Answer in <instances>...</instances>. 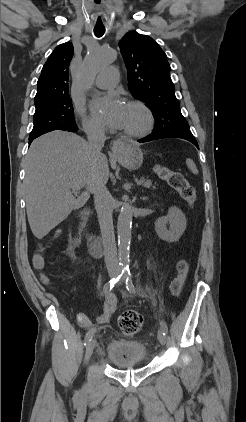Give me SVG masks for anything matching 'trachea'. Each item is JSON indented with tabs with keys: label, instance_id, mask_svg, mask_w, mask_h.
<instances>
[{
	"label": "trachea",
	"instance_id": "obj_1",
	"mask_svg": "<svg viewBox=\"0 0 246 422\" xmlns=\"http://www.w3.org/2000/svg\"><path fill=\"white\" fill-rule=\"evenodd\" d=\"M104 33H105L104 27H95L94 28V34H95L96 37H101V36H103Z\"/></svg>",
	"mask_w": 246,
	"mask_h": 422
}]
</instances>
